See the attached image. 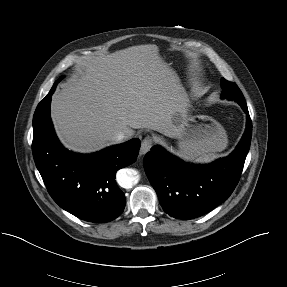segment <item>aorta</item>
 <instances>
[{
	"instance_id": "aorta-1",
	"label": "aorta",
	"mask_w": 287,
	"mask_h": 287,
	"mask_svg": "<svg viewBox=\"0 0 287 287\" xmlns=\"http://www.w3.org/2000/svg\"><path fill=\"white\" fill-rule=\"evenodd\" d=\"M117 180L123 188H131L138 182V177L133 170H122L118 173Z\"/></svg>"
}]
</instances>
